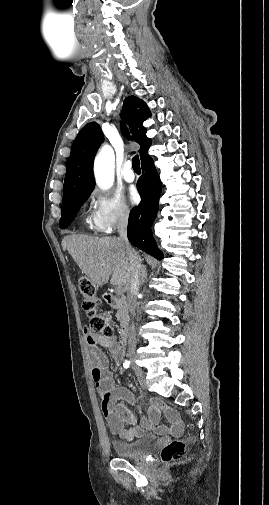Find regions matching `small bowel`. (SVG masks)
<instances>
[{
  "label": "small bowel",
  "mask_w": 269,
  "mask_h": 505,
  "mask_svg": "<svg viewBox=\"0 0 269 505\" xmlns=\"http://www.w3.org/2000/svg\"><path fill=\"white\" fill-rule=\"evenodd\" d=\"M89 346V359L92 364V378L100 396L101 408L109 430L124 440H133L146 432L180 436L184 431V423L165 402L159 398L149 401L147 416L140 422L127 407L126 403L138 405L136 395L125 387L114 386V376L108 367V358L103 349L108 350L117 365L124 357L123 346L113 336L93 335L84 330ZM165 413L169 425L160 424L161 414ZM126 425H129L127 428Z\"/></svg>",
  "instance_id": "1"
}]
</instances>
